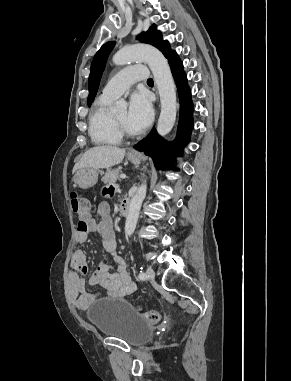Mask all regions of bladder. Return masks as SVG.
Here are the masks:
<instances>
[{
  "label": "bladder",
  "instance_id": "1",
  "mask_svg": "<svg viewBox=\"0 0 291 381\" xmlns=\"http://www.w3.org/2000/svg\"><path fill=\"white\" fill-rule=\"evenodd\" d=\"M88 315L101 334L131 346L147 342L154 333V325L135 312L125 299L98 303L89 309Z\"/></svg>",
  "mask_w": 291,
  "mask_h": 381
}]
</instances>
